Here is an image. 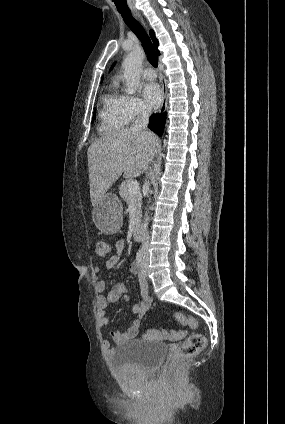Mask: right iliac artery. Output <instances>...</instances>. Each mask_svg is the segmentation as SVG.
<instances>
[{
  "label": "right iliac artery",
  "mask_w": 285,
  "mask_h": 424,
  "mask_svg": "<svg viewBox=\"0 0 285 424\" xmlns=\"http://www.w3.org/2000/svg\"><path fill=\"white\" fill-rule=\"evenodd\" d=\"M143 259V250H139L136 255V261L140 263Z\"/></svg>",
  "instance_id": "obj_1"
}]
</instances>
